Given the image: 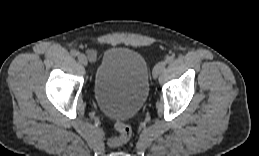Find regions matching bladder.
I'll list each match as a JSON object with an SVG mask.
<instances>
[{"label": "bladder", "instance_id": "1", "mask_svg": "<svg viewBox=\"0 0 259 156\" xmlns=\"http://www.w3.org/2000/svg\"><path fill=\"white\" fill-rule=\"evenodd\" d=\"M93 96L110 118L125 120L138 113L149 92V67L138 52L124 48L107 49L96 68Z\"/></svg>", "mask_w": 259, "mask_h": 156}]
</instances>
